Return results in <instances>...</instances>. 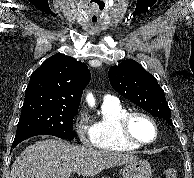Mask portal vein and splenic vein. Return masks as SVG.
<instances>
[{
  "label": "portal vein and splenic vein",
  "mask_w": 194,
  "mask_h": 178,
  "mask_svg": "<svg viewBox=\"0 0 194 178\" xmlns=\"http://www.w3.org/2000/svg\"><path fill=\"white\" fill-rule=\"evenodd\" d=\"M61 178H69V175H62Z\"/></svg>",
  "instance_id": "obj_1"
}]
</instances>
